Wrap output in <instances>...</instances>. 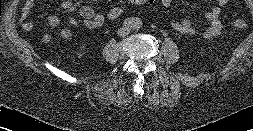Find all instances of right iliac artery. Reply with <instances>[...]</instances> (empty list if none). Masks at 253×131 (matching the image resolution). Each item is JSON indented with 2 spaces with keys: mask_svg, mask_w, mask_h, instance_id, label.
Listing matches in <instances>:
<instances>
[{
  "mask_svg": "<svg viewBox=\"0 0 253 131\" xmlns=\"http://www.w3.org/2000/svg\"><path fill=\"white\" fill-rule=\"evenodd\" d=\"M132 23H133V20H132V19H126V20L124 21V24H123V25H125V26H131Z\"/></svg>",
  "mask_w": 253,
  "mask_h": 131,
  "instance_id": "82829eb1",
  "label": "right iliac artery"
}]
</instances>
